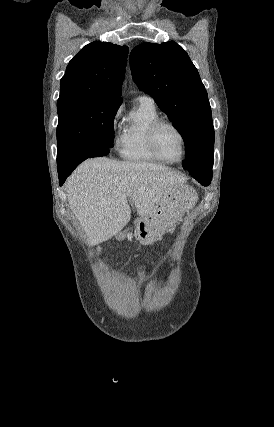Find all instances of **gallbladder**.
<instances>
[{
	"instance_id": "gallbladder-1",
	"label": "gallbladder",
	"mask_w": 274,
	"mask_h": 427,
	"mask_svg": "<svg viewBox=\"0 0 274 427\" xmlns=\"http://www.w3.org/2000/svg\"><path fill=\"white\" fill-rule=\"evenodd\" d=\"M97 251H98V253H99V251H101V247H97Z\"/></svg>"
}]
</instances>
